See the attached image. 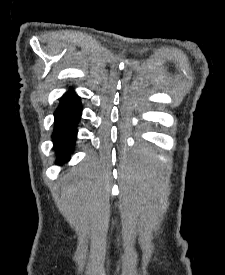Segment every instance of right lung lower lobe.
I'll return each instance as SVG.
<instances>
[{
    "label": "right lung lower lobe",
    "instance_id": "1",
    "mask_svg": "<svg viewBox=\"0 0 225 275\" xmlns=\"http://www.w3.org/2000/svg\"><path fill=\"white\" fill-rule=\"evenodd\" d=\"M82 114L81 101L74 92L66 93L59 102L54 116V130L52 139L57 157L56 163L62 165L73 153L77 126Z\"/></svg>",
    "mask_w": 225,
    "mask_h": 275
}]
</instances>
